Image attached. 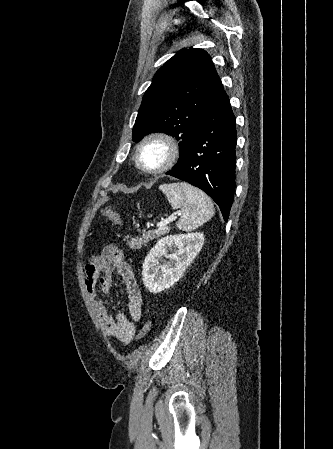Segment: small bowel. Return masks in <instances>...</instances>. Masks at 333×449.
Returning a JSON list of instances; mask_svg holds the SVG:
<instances>
[{
    "label": "small bowel",
    "instance_id": "c3829d8e",
    "mask_svg": "<svg viewBox=\"0 0 333 449\" xmlns=\"http://www.w3.org/2000/svg\"><path fill=\"white\" fill-rule=\"evenodd\" d=\"M116 272L125 286L128 299V315L118 313L112 316L104 301L97 294L111 290V275ZM85 286L94 313L107 336L114 337L123 344H129L135 337L136 324L143 312L140 289L131 266L124 260L123 253L115 245H107L99 255L90 259L85 266Z\"/></svg>",
    "mask_w": 333,
    "mask_h": 449
}]
</instances>
